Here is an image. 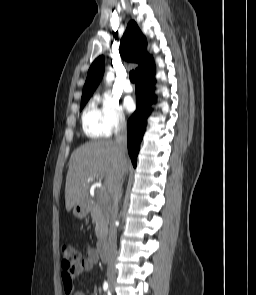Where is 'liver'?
<instances>
[{"label": "liver", "instance_id": "obj_1", "mask_svg": "<svg viewBox=\"0 0 256 295\" xmlns=\"http://www.w3.org/2000/svg\"><path fill=\"white\" fill-rule=\"evenodd\" d=\"M130 166L126 158L122 163L115 141H93L77 148L70 157L65 185V205L69 212L76 204L84 203L90 184L104 179L107 192L120 171Z\"/></svg>", "mask_w": 256, "mask_h": 295}]
</instances>
